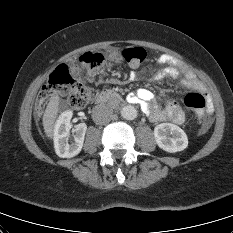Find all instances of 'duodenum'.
Here are the masks:
<instances>
[{"label":"duodenum","instance_id":"1","mask_svg":"<svg viewBox=\"0 0 233 233\" xmlns=\"http://www.w3.org/2000/svg\"><path fill=\"white\" fill-rule=\"evenodd\" d=\"M122 101L121 96L111 89L102 90L96 97V103H111V104H118Z\"/></svg>","mask_w":233,"mask_h":233}]
</instances>
